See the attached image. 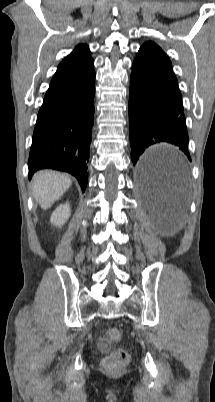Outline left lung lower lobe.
Returning a JSON list of instances; mask_svg holds the SVG:
<instances>
[{
    "mask_svg": "<svg viewBox=\"0 0 215 402\" xmlns=\"http://www.w3.org/2000/svg\"><path fill=\"white\" fill-rule=\"evenodd\" d=\"M129 125L134 165L147 148L156 144L177 146L191 160L182 96L173 70L136 57L130 78ZM139 174L159 193L162 205L172 210L180 194L162 184L158 174L146 170L144 163L139 166Z\"/></svg>",
    "mask_w": 215,
    "mask_h": 402,
    "instance_id": "obj_1",
    "label": "left lung lower lobe"
}]
</instances>
